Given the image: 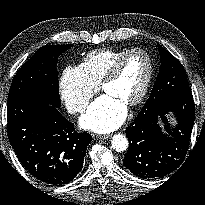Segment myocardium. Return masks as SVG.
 <instances>
[{
	"instance_id": "1",
	"label": "myocardium",
	"mask_w": 205,
	"mask_h": 205,
	"mask_svg": "<svg viewBox=\"0 0 205 205\" xmlns=\"http://www.w3.org/2000/svg\"><path fill=\"white\" fill-rule=\"evenodd\" d=\"M137 53L143 54L146 56L149 62V69H148L147 77L145 79V82L143 84V87L140 93L133 100H131L130 102L126 104L127 107H133V106L140 104L144 100V98L146 97L149 91V88H150V85H151V82L154 76L155 65H154V59L148 51L141 49V48H134V49H130L126 51L113 63L108 73L104 76V78L99 83V88L102 90L105 85L114 81L118 77L123 63L130 56L137 54Z\"/></svg>"
}]
</instances>
